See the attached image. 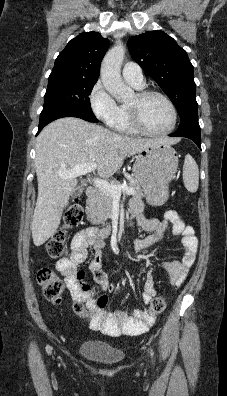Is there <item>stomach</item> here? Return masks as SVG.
I'll return each instance as SVG.
<instances>
[{
  "label": "stomach",
  "instance_id": "obj_1",
  "mask_svg": "<svg viewBox=\"0 0 227 396\" xmlns=\"http://www.w3.org/2000/svg\"><path fill=\"white\" fill-rule=\"evenodd\" d=\"M177 168L178 156L169 145H153L138 153L133 176L149 204L161 206L168 200V184L175 177Z\"/></svg>",
  "mask_w": 227,
  "mask_h": 396
}]
</instances>
